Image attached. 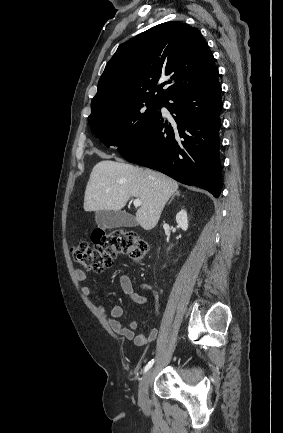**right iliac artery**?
I'll return each instance as SVG.
<instances>
[{
    "label": "right iliac artery",
    "instance_id": "right-iliac-artery-1",
    "mask_svg": "<svg viewBox=\"0 0 283 433\" xmlns=\"http://www.w3.org/2000/svg\"><path fill=\"white\" fill-rule=\"evenodd\" d=\"M154 359L148 362V364L144 367V373L147 372L153 365Z\"/></svg>",
    "mask_w": 283,
    "mask_h": 433
}]
</instances>
